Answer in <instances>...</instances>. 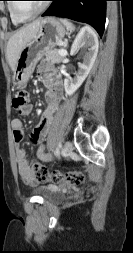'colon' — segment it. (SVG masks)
I'll use <instances>...</instances> for the list:
<instances>
[{"instance_id":"1","label":"colon","mask_w":133,"mask_h":253,"mask_svg":"<svg viewBox=\"0 0 133 253\" xmlns=\"http://www.w3.org/2000/svg\"><path fill=\"white\" fill-rule=\"evenodd\" d=\"M29 102V94L26 90H18L12 98V107L21 111ZM33 173L38 182L66 183L71 185L82 184L85 180V174L81 171H70L62 173L58 170L49 171L44 165L34 163Z\"/></svg>"}]
</instances>
